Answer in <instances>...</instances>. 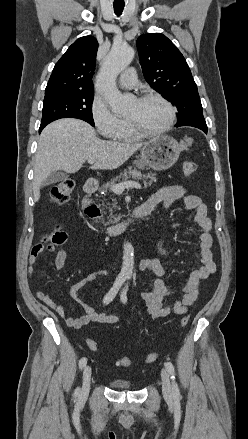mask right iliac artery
Returning <instances> with one entry per match:
<instances>
[{"instance_id": "obj_1", "label": "right iliac artery", "mask_w": 248, "mask_h": 439, "mask_svg": "<svg viewBox=\"0 0 248 439\" xmlns=\"http://www.w3.org/2000/svg\"><path fill=\"white\" fill-rule=\"evenodd\" d=\"M127 278V275L125 274H119L116 278L112 288L109 290V292L104 296L103 303L109 304L116 296L122 285L124 284L125 280ZM87 364V358L83 357L79 361V368L83 369ZM77 391H79V388H77Z\"/></svg>"}]
</instances>
